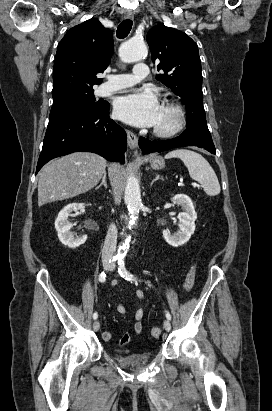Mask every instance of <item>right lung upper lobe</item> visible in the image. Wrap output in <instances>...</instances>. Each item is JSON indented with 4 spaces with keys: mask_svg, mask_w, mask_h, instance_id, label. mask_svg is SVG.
<instances>
[{
    "mask_svg": "<svg viewBox=\"0 0 272 411\" xmlns=\"http://www.w3.org/2000/svg\"><path fill=\"white\" fill-rule=\"evenodd\" d=\"M113 53L112 32L98 19H89L71 28L61 40L53 68V101L72 92L92 88L96 77L109 65Z\"/></svg>",
    "mask_w": 272,
    "mask_h": 411,
    "instance_id": "1",
    "label": "right lung upper lobe"
}]
</instances>
